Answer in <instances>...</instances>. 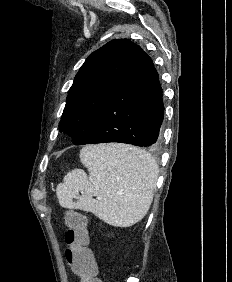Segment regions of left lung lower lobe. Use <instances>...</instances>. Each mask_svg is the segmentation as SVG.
I'll use <instances>...</instances> for the list:
<instances>
[{"mask_svg":"<svg viewBox=\"0 0 232 282\" xmlns=\"http://www.w3.org/2000/svg\"><path fill=\"white\" fill-rule=\"evenodd\" d=\"M162 97L158 73L143 52L125 83L101 107L89 138L76 145L120 142L158 147L164 117Z\"/></svg>","mask_w":232,"mask_h":282,"instance_id":"1","label":"left lung lower lobe"}]
</instances>
